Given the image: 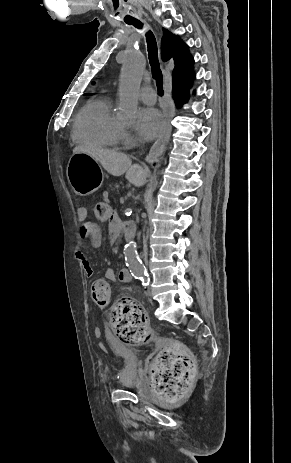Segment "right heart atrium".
Instances as JSON below:
<instances>
[{
    "label": "right heart atrium",
    "mask_w": 291,
    "mask_h": 463,
    "mask_svg": "<svg viewBox=\"0 0 291 463\" xmlns=\"http://www.w3.org/2000/svg\"><path fill=\"white\" fill-rule=\"evenodd\" d=\"M123 136L125 138V140L128 142V143H132L133 142V139H132V136L130 135V133L128 131H124L123 132Z\"/></svg>",
    "instance_id": "right-heart-atrium-1"
}]
</instances>
